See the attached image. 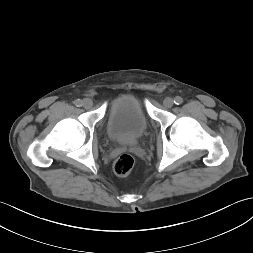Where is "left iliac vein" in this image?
<instances>
[{
    "label": "left iliac vein",
    "mask_w": 253,
    "mask_h": 253,
    "mask_svg": "<svg viewBox=\"0 0 253 253\" xmlns=\"http://www.w3.org/2000/svg\"><path fill=\"white\" fill-rule=\"evenodd\" d=\"M173 104H174V101L170 97L165 98L163 101V105L167 108H171L173 106Z\"/></svg>",
    "instance_id": "left-iliac-vein-1"
}]
</instances>
